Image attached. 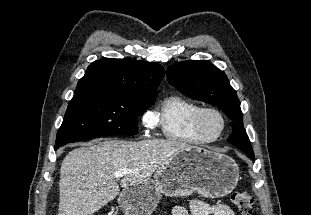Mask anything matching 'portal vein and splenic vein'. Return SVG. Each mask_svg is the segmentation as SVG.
Segmentation results:
<instances>
[{"label": "portal vein and splenic vein", "instance_id": "18ae733b", "mask_svg": "<svg viewBox=\"0 0 311 215\" xmlns=\"http://www.w3.org/2000/svg\"><path fill=\"white\" fill-rule=\"evenodd\" d=\"M134 171L135 170L121 169V170L117 171L114 176H115V178H121V177H123V176H125L127 174L133 173Z\"/></svg>", "mask_w": 311, "mask_h": 215}]
</instances>
